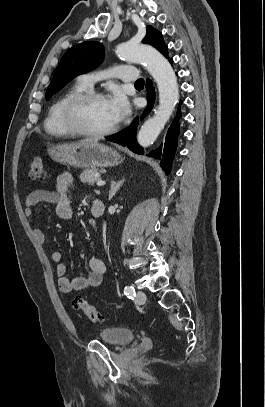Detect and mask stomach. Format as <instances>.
<instances>
[{
	"mask_svg": "<svg viewBox=\"0 0 265 407\" xmlns=\"http://www.w3.org/2000/svg\"><path fill=\"white\" fill-rule=\"evenodd\" d=\"M47 153L56 162L87 169L114 167L123 161L115 149L95 141L50 145Z\"/></svg>",
	"mask_w": 265,
	"mask_h": 407,
	"instance_id": "obj_1",
	"label": "stomach"
}]
</instances>
